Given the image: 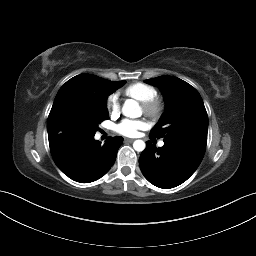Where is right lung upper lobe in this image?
Returning a JSON list of instances; mask_svg holds the SVG:
<instances>
[{
  "label": "right lung upper lobe",
  "mask_w": 256,
  "mask_h": 256,
  "mask_svg": "<svg viewBox=\"0 0 256 256\" xmlns=\"http://www.w3.org/2000/svg\"><path fill=\"white\" fill-rule=\"evenodd\" d=\"M108 80L90 74H80L68 80L58 91L47 120L49 134H55L57 116L66 107H84L98 98L100 85Z\"/></svg>",
  "instance_id": "obj_1"
}]
</instances>
